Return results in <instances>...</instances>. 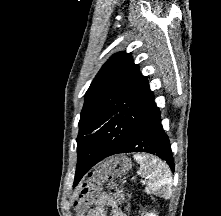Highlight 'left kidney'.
<instances>
[{
  "instance_id": "obj_1",
  "label": "left kidney",
  "mask_w": 221,
  "mask_h": 216,
  "mask_svg": "<svg viewBox=\"0 0 221 216\" xmlns=\"http://www.w3.org/2000/svg\"><path fill=\"white\" fill-rule=\"evenodd\" d=\"M144 216H157V215L154 214V213H147V214H145Z\"/></svg>"
}]
</instances>
